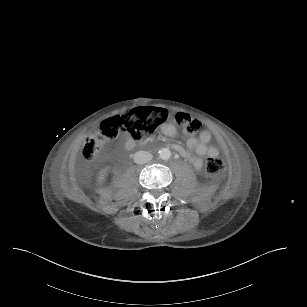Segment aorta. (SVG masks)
<instances>
[{
  "label": "aorta",
  "mask_w": 307,
  "mask_h": 307,
  "mask_svg": "<svg viewBox=\"0 0 307 307\" xmlns=\"http://www.w3.org/2000/svg\"><path fill=\"white\" fill-rule=\"evenodd\" d=\"M159 158L162 160H168L171 157V151L168 148H162L158 151Z\"/></svg>",
  "instance_id": "1"
}]
</instances>
